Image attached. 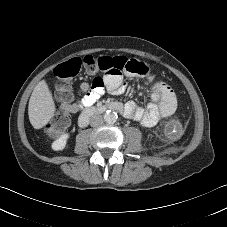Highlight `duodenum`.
I'll return each instance as SVG.
<instances>
[{
  "label": "duodenum",
  "instance_id": "duodenum-1",
  "mask_svg": "<svg viewBox=\"0 0 227 227\" xmlns=\"http://www.w3.org/2000/svg\"><path fill=\"white\" fill-rule=\"evenodd\" d=\"M107 110H115L119 112H124V108L119 103H109V104H103V105H97L95 107L86 109L79 118V126L80 127H86L89 124L90 119L98 114L105 112Z\"/></svg>",
  "mask_w": 227,
  "mask_h": 227
}]
</instances>
